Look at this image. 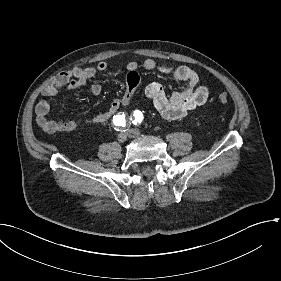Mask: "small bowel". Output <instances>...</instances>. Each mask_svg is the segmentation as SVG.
Here are the masks:
<instances>
[{"label": "small bowel", "mask_w": 281, "mask_h": 281, "mask_svg": "<svg viewBox=\"0 0 281 281\" xmlns=\"http://www.w3.org/2000/svg\"><path fill=\"white\" fill-rule=\"evenodd\" d=\"M142 67L146 71L159 70L163 73H172L176 82L184 84L180 90L170 96L159 84L152 83L146 86L145 96L152 101L155 109L163 118L169 120L181 119L207 101L208 88L200 84L199 75L194 70L186 66L173 67L169 64H158L150 58L143 61ZM107 69L108 64L105 61H100L95 66L75 67L68 72L52 77L44 86L42 94L44 97H54L62 89L73 91L82 88L97 73L104 72ZM126 69L127 79L123 96L113 99L106 110L86 120L85 123H106L119 112L121 107L130 104L140 84L137 62H127ZM90 91L97 96L102 92V87L98 83H93L90 85ZM49 111V102L45 98L38 100L35 107L36 123L45 133L70 132L81 125L76 120L50 119L48 118Z\"/></svg>", "instance_id": "1"}]
</instances>
